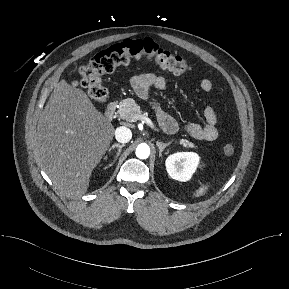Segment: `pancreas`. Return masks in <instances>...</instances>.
<instances>
[{
  "instance_id": "obj_1",
  "label": "pancreas",
  "mask_w": 289,
  "mask_h": 289,
  "mask_svg": "<svg viewBox=\"0 0 289 289\" xmlns=\"http://www.w3.org/2000/svg\"><path fill=\"white\" fill-rule=\"evenodd\" d=\"M119 117L126 121H132L136 115H142L141 107L131 98H126L119 103L117 111ZM180 145L185 148H196L197 146L186 139L180 140Z\"/></svg>"
}]
</instances>
